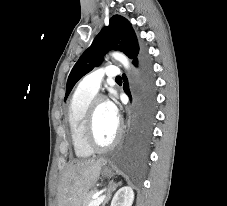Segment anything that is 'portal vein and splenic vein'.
Masks as SVG:
<instances>
[{
  "instance_id": "portal-vein-and-splenic-vein-1",
  "label": "portal vein and splenic vein",
  "mask_w": 227,
  "mask_h": 206,
  "mask_svg": "<svg viewBox=\"0 0 227 206\" xmlns=\"http://www.w3.org/2000/svg\"><path fill=\"white\" fill-rule=\"evenodd\" d=\"M102 192H98L94 195V200L89 204V206H99L105 199V195H101Z\"/></svg>"
}]
</instances>
